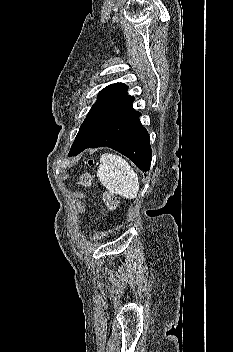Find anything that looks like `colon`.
Here are the masks:
<instances>
[{
    "label": "colon",
    "mask_w": 233,
    "mask_h": 352,
    "mask_svg": "<svg viewBox=\"0 0 233 352\" xmlns=\"http://www.w3.org/2000/svg\"><path fill=\"white\" fill-rule=\"evenodd\" d=\"M90 177L88 175L81 176L79 183L83 186H87L90 184ZM103 201L106 208L110 211H115L118 206V200L114 194L107 192L103 196Z\"/></svg>",
    "instance_id": "5ec220e1"
}]
</instances>
